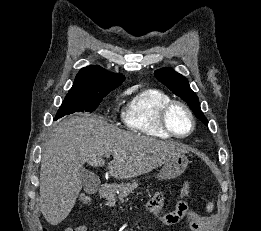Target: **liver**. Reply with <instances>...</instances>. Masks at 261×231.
<instances>
[{"instance_id": "1", "label": "liver", "mask_w": 261, "mask_h": 231, "mask_svg": "<svg viewBox=\"0 0 261 231\" xmlns=\"http://www.w3.org/2000/svg\"><path fill=\"white\" fill-rule=\"evenodd\" d=\"M188 152L182 144L120 130L94 115L63 120L43 148L40 171V208L51 225L71 212L82 189L79 170L88 162L102 166V156L113 154L108 164L116 179L136 177ZM116 153V154H115Z\"/></svg>"}]
</instances>
